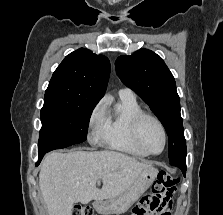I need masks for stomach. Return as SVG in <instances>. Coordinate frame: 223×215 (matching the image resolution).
Here are the masks:
<instances>
[{
    "label": "stomach",
    "mask_w": 223,
    "mask_h": 215,
    "mask_svg": "<svg viewBox=\"0 0 223 215\" xmlns=\"http://www.w3.org/2000/svg\"><path fill=\"white\" fill-rule=\"evenodd\" d=\"M157 173L158 169H156V167H146V169H143V171L139 173L137 179H135L133 185H131L127 191L120 193V195H117V197L113 199H107L105 202L95 201V203H93L95 209H97L99 213H103V215L127 211V209L147 191L148 187L152 185L154 179L157 177Z\"/></svg>",
    "instance_id": "obj_1"
}]
</instances>
